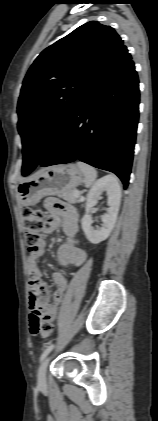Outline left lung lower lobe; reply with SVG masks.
Wrapping results in <instances>:
<instances>
[{
    "mask_svg": "<svg viewBox=\"0 0 158 421\" xmlns=\"http://www.w3.org/2000/svg\"><path fill=\"white\" fill-rule=\"evenodd\" d=\"M138 106V76L131 55L123 45L77 103L42 166L79 159L115 173L127 188Z\"/></svg>",
    "mask_w": 158,
    "mask_h": 421,
    "instance_id": "1",
    "label": "left lung lower lobe"
}]
</instances>
